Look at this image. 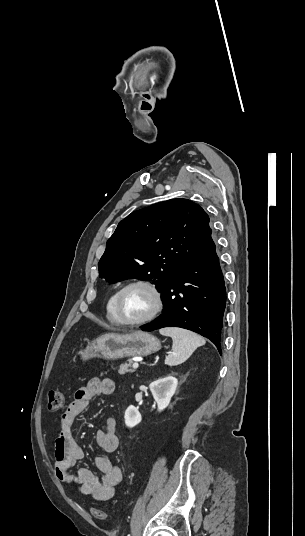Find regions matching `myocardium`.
Listing matches in <instances>:
<instances>
[{
    "mask_svg": "<svg viewBox=\"0 0 305 536\" xmlns=\"http://www.w3.org/2000/svg\"><path fill=\"white\" fill-rule=\"evenodd\" d=\"M143 286L147 288L154 297V306L151 312L144 318L137 321H127L122 317V296L124 292L132 286ZM164 305V297L160 287L152 280L145 278H136L125 283L117 292L114 302V310L120 326L128 328H137L143 326L153 320L162 310Z\"/></svg>",
    "mask_w": 305,
    "mask_h": 536,
    "instance_id": "obj_1",
    "label": "myocardium"
}]
</instances>
